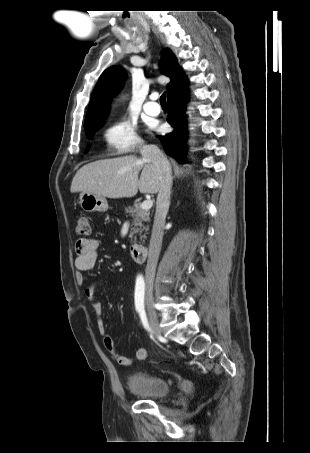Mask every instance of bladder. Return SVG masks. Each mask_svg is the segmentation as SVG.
Wrapping results in <instances>:
<instances>
[{"label":"bladder","mask_w":310,"mask_h":453,"mask_svg":"<svg viewBox=\"0 0 310 453\" xmlns=\"http://www.w3.org/2000/svg\"><path fill=\"white\" fill-rule=\"evenodd\" d=\"M127 388L142 398L159 399L170 392L168 382L157 375L137 372L129 376Z\"/></svg>","instance_id":"obj_1"}]
</instances>
